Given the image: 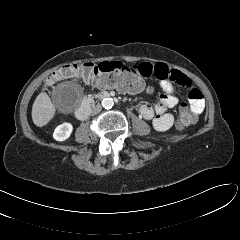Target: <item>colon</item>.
Returning <instances> with one entry per match:
<instances>
[{
	"label": "colon",
	"mask_w": 240,
	"mask_h": 240,
	"mask_svg": "<svg viewBox=\"0 0 240 240\" xmlns=\"http://www.w3.org/2000/svg\"><path fill=\"white\" fill-rule=\"evenodd\" d=\"M71 77H79L97 85L115 87L124 92H138L143 89L142 78L135 68L119 61L64 65L48 78L47 84L52 85L59 80ZM195 120L196 116L189 106L185 103L181 104L178 113L179 126H189Z\"/></svg>",
	"instance_id": "obj_1"
}]
</instances>
